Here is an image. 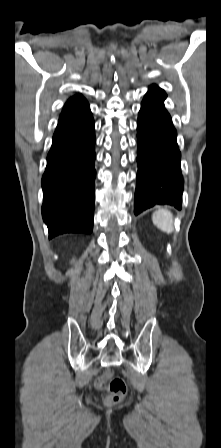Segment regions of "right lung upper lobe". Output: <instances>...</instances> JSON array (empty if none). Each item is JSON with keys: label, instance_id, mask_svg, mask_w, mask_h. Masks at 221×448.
I'll return each instance as SVG.
<instances>
[{"label": "right lung upper lobe", "instance_id": "obj_1", "mask_svg": "<svg viewBox=\"0 0 221 448\" xmlns=\"http://www.w3.org/2000/svg\"><path fill=\"white\" fill-rule=\"evenodd\" d=\"M76 97H78V96H74V97L70 98L69 100H72V99H74V98H76ZM69 100H68V101H69Z\"/></svg>", "mask_w": 221, "mask_h": 448}]
</instances>
